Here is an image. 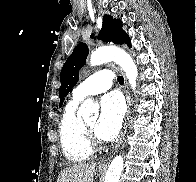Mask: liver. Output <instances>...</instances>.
<instances>
[{"mask_svg": "<svg viewBox=\"0 0 196 182\" xmlns=\"http://www.w3.org/2000/svg\"><path fill=\"white\" fill-rule=\"evenodd\" d=\"M96 163H80L63 169L57 182H93Z\"/></svg>", "mask_w": 196, "mask_h": 182, "instance_id": "obj_1", "label": "liver"}]
</instances>
